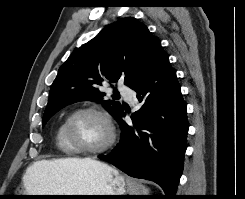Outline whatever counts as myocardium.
Masks as SVG:
<instances>
[{"label":"myocardium","mask_w":245,"mask_h":199,"mask_svg":"<svg viewBox=\"0 0 245 199\" xmlns=\"http://www.w3.org/2000/svg\"><path fill=\"white\" fill-rule=\"evenodd\" d=\"M82 114L97 115L101 117L106 123L108 131H109V137L107 141L100 147L87 148V147L81 146L79 143H77L74 140L72 132H71V125L74 119ZM64 135L68 143L75 150L76 153L85 154L89 156L100 155V154L105 153L109 149H111L116 141V136H117L114 122L111 116L109 115V113L101 108L93 107V106L79 108V109L74 110L72 113H70L69 116L64 121Z\"/></svg>","instance_id":"f54148a6"}]
</instances>
